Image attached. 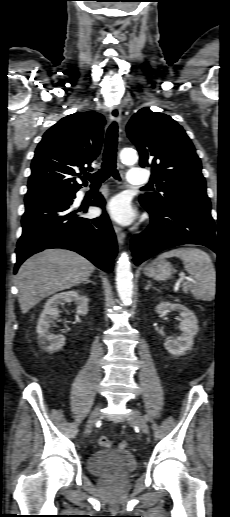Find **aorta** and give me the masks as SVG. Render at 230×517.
Wrapping results in <instances>:
<instances>
[{
    "label": "aorta",
    "instance_id": "1",
    "mask_svg": "<svg viewBox=\"0 0 230 517\" xmlns=\"http://www.w3.org/2000/svg\"><path fill=\"white\" fill-rule=\"evenodd\" d=\"M120 159L123 163L134 164L138 160V156L135 150L125 148L120 152ZM131 265L128 255L124 252L121 254L117 261L116 268V288L120 300L125 304L131 303L133 295V282H132Z\"/></svg>",
    "mask_w": 230,
    "mask_h": 517
}]
</instances>
